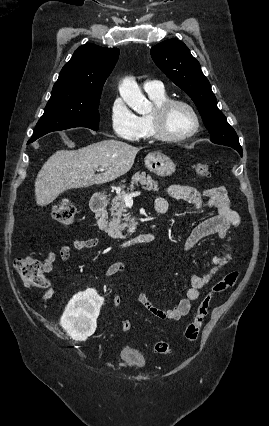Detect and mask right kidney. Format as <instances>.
I'll use <instances>...</instances> for the list:
<instances>
[{"label": "right kidney", "instance_id": "right-kidney-1", "mask_svg": "<svg viewBox=\"0 0 269 426\" xmlns=\"http://www.w3.org/2000/svg\"><path fill=\"white\" fill-rule=\"evenodd\" d=\"M103 303L95 290H86L73 297L61 318V325L75 341H85L97 327L96 319Z\"/></svg>", "mask_w": 269, "mask_h": 426}]
</instances>
